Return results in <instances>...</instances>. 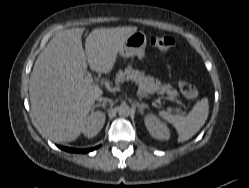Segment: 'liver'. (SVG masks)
<instances>
[{
	"mask_svg": "<svg viewBox=\"0 0 249 188\" xmlns=\"http://www.w3.org/2000/svg\"><path fill=\"white\" fill-rule=\"evenodd\" d=\"M137 27L96 28L82 46L84 28L56 34L38 56L29 81L31 110L40 131L57 143L76 140L97 97L98 85L85 82L87 62L109 73L125 40ZM87 56V59H86Z\"/></svg>",
	"mask_w": 249,
	"mask_h": 188,
	"instance_id": "obj_1",
	"label": "liver"
}]
</instances>
